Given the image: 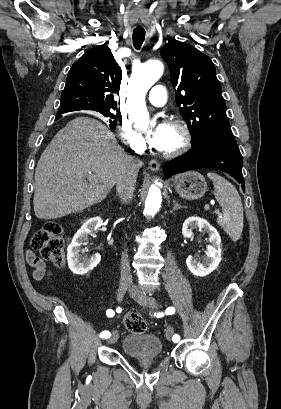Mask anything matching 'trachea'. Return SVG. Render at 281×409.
I'll return each instance as SVG.
<instances>
[{
	"instance_id": "obj_1",
	"label": "trachea",
	"mask_w": 281,
	"mask_h": 409,
	"mask_svg": "<svg viewBox=\"0 0 281 409\" xmlns=\"http://www.w3.org/2000/svg\"><path fill=\"white\" fill-rule=\"evenodd\" d=\"M132 39L134 47L139 50L144 42L145 32H133Z\"/></svg>"
}]
</instances>
